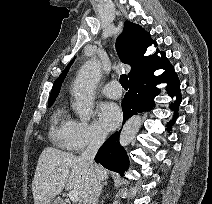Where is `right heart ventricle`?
Wrapping results in <instances>:
<instances>
[{
    "label": "right heart ventricle",
    "mask_w": 212,
    "mask_h": 204,
    "mask_svg": "<svg viewBox=\"0 0 212 204\" xmlns=\"http://www.w3.org/2000/svg\"><path fill=\"white\" fill-rule=\"evenodd\" d=\"M74 120L64 106L56 108L51 118L49 135L59 147L70 149V137Z\"/></svg>",
    "instance_id": "e07e8e85"
}]
</instances>
